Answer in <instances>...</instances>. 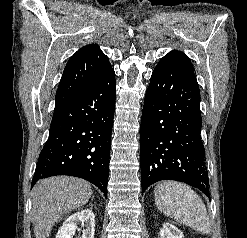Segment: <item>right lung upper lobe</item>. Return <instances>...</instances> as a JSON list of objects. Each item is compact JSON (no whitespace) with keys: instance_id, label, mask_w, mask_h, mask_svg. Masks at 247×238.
I'll return each mask as SVG.
<instances>
[{"instance_id":"1","label":"right lung upper lobe","mask_w":247,"mask_h":238,"mask_svg":"<svg viewBox=\"0 0 247 238\" xmlns=\"http://www.w3.org/2000/svg\"><path fill=\"white\" fill-rule=\"evenodd\" d=\"M106 55L98 45L80 48L68 61L56 92L58 107L74 98L111 70Z\"/></svg>"}]
</instances>
